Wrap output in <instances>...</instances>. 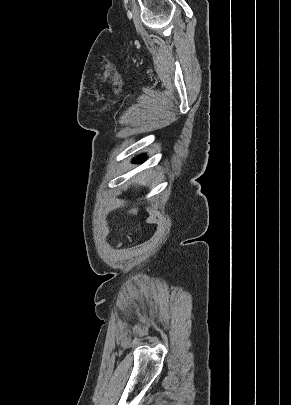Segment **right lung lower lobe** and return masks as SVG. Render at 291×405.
I'll list each match as a JSON object with an SVG mask.
<instances>
[{"label": "right lung lower lobe", "mask_w": 291, "mask_h": 405, "mask_svg": "<svg viewBox=\"0 0 291 405\" xmlns=\"http://www.w3.org/2000/svg\"><path fill=\"white\" fill-rule=\"evenodd\" d=\"M146 159V155H142V156H139L138 158H137V162H142V161H144Z\"/></svg>", "instance_id": "98d812e1"}]
</instances>
